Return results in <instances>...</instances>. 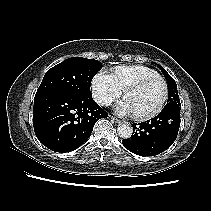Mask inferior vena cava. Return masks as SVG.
I'll return each mask as SVG.
<instances>
[{
	"label": "inferior vena cava",
	"mask_w": 211,
	"mask_h": 211,
	"mask_svg": "<svg viewBox=\"0 0 211 211\" xmlns=\"http://www.w3.org/2000/svg\"><path fill=\"white\" fill-rule=\"evenodd\" d=\"M111 102H112V100L109 99V98H107V99H104L103 104H104V105H110Z\"/></svg>",
	"instance_id": "602c4592"
}]
</instances>
